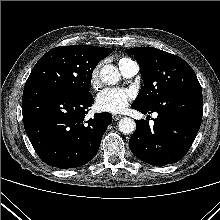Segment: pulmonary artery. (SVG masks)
Segmentation results:
<instances>
[{"instance_id": "pulmonary-artery-1", "label": "pulmonary artery", "mask_w": 220, "mask_h": 220, "mask_svg": "<svg viewBox=\"0 0 220 220\" xmlns=\"http://www.w3.org/2000/svg\"><path fill=\"white\" fill-rule=\"evenodd\" d=\"M120 70L125 77L131 78L138 73L139 67L136 62L131 60V61L123 64L120 67Z\"/></svg>"}]
</instances>
